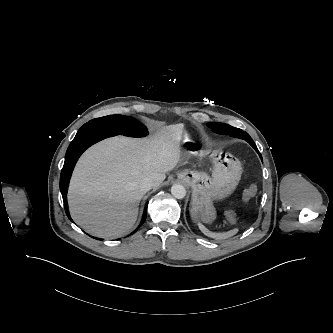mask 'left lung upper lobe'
<instances>
[{
    "label": "left lung upper lobe",
    "instance_id": "left-lung-upper-lobe-1",
    "mask_svg": "<svg viewBox=\"0 0 333 333\" xmlns=\"http://www.w3.org/2000/svg\"><path fill=\"white\" fill-rule=\"evenodd\" d=\"M207 126L209 128H211L215 133L218 134H222V135H230L233 137H238L241 139H244L247 141V138L251 139V137L244 131H242L241 129L232 127L228 124H224V123H219V122H210L207 124ZM261 159L262 156L259 153Z\"/></svg>",
    "mask_w": 333,
    "mask_h": 333
}]
</instances>
